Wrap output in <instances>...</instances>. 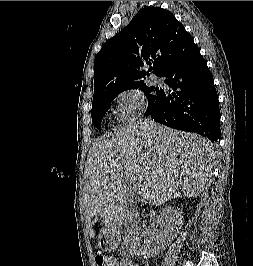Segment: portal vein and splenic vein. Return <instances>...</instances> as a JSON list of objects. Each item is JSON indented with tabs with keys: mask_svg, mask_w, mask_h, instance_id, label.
Returning <instances> with one entry per match:
<instances>
[{
	"mask_svg": "<svg viewBox=\"0 0 253 266\" xmlns=\"http://www.w3.org/2000/svg\"><path fill=\"white\" fill-rule=\"evenodd\" d=\"M129 182L132 183L133 186H135V187H137V186L141 187V185L139 184L138 179L136 177H130Z\"/></svg>",
	"mask_w": 253,
	"mask_h": 266,
	"instance_id": "portal-vein-and-splenic-vein-1",
	"label": "portal vein and splenic vein"
}]
</instances>
